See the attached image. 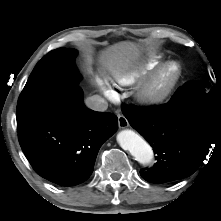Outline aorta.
<instances>
[{
  "label": "aorta",
  "mask_w": 221,
  "mask_h": 221,
  "mask_svg": "<svg viewBox=\"0 0 221 221\" xmlns=\"http://www.w3.org/2000/svg\"><path fill=\"white\" fill-rule=\"evenodd\" d=\"M117 142L122 149L130 152L135 160L141 164H149L154 157L151 146L132 130L120 131L117 134Z\"/></svg>",
  "instance_id": "aorta-1"
}]
</instances>
